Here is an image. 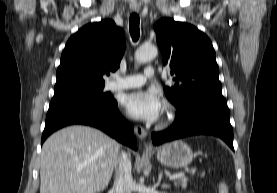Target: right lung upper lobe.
Returning <instances> with one entry per match:
<instances>
[{"mask_svg": "<svg viewBox=\"0 0 277 193\" xmlns=\"http://www.w3.org/2000/svg\"><path fill=\"white\" fill-rule=\"evenodd\" d=\"M126 47L124 31L112 20L90 23L73 34L61 56L54 94L104 85Z\"/></svg>", "mask_w": 277, "mask_h": 193, "instance_id": "cb5924a9", "label": "right lung upper lobe"}]
</instances>
